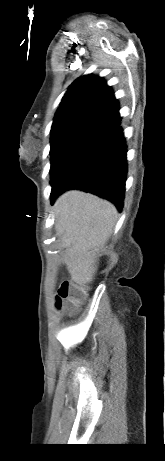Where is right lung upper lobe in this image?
Returning <instances> with one entry per match:
<instances>
[{
  "label": "right lung upper lobe",
  "mask_w": 165,
  "mask_h": 461,
  "mask_svg": "<svg viewBox=\"0 0 165 461\" xmlns=\"http://www.w3.org/2000/svg\"><path fill=\"white\" fill-rule=\"evenodd\" d=\"M93 115L109 122L119 116V104L102 77L85 75L75 80L62 98L54 120Z\"/></svg>",
  "instance_id": "obj_1"
}]
</instances>
